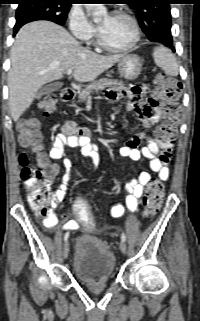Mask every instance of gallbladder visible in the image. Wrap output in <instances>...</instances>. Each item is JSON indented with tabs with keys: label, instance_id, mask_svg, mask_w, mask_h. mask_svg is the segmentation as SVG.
Listing matches in <instances>:
<instances>
[{
	"label": "gallbladder",
	"instance_id": "bac80fb5",
	"mask_svg": "<svg viewBox=\"0 0 200 321\" xmlns=\"http://www.w3.org/2000/svg\"><path fill=\"white\" fill-rule=\"evenodd\" d=\"M61 87V83H52L42 86L36 93L35 98L40 99L42 96L58 90Z\"/></svg>",
	"mask_w": 200,
	"mask_h": 321
}]
</instances>
